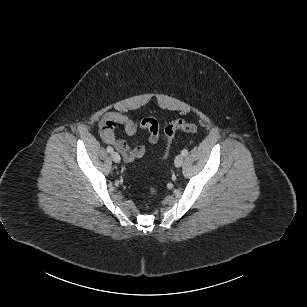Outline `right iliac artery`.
<instances>
[{
  "label": "right iliac artery",
  "instance_id": "1",
  "mask_svg": "<svg viewBox=\"0 0 307 307\" xmlns=\"http://www.w3.org/2000/svg\"><path fill=\"white\" fill-rule=\"evenodd\" d=\"M107 151H108L109 153H112V152H113V148H112L111 146H108V147H107Z\"/></svg>",
  "mask_w": 307,
  "mask_h": 307
}]
</instances>
